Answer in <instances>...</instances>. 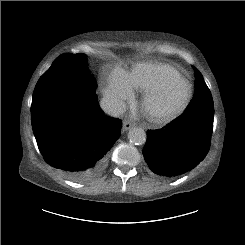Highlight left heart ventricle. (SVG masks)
Wrapping results in <instances>:
<instances>
[{
  "label": "left heart ventricle",
  "mask_w": 245,
  "mask_h": 245,
  "mask_svg": "<svg viewBox=\"0 0 245 245\" xmlns=\"http://www.w3.org/2000/svg\"><path fill=\"white\" fill-rule=\"evenodd\" d=\"M185 92V84L178 81L159 101L160 107H167L176 104Z\"/></svg>",
  "instance_id": "left-heart-ventricle-1"
}]
</instances>
